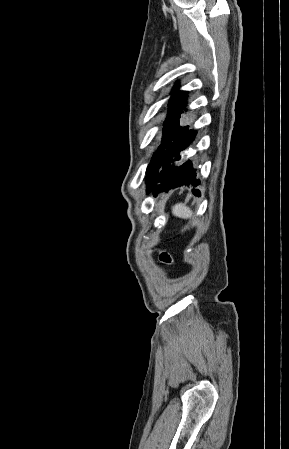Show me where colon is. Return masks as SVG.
<instances>
[{"instance_id": "1", "label": "colon", "mask_w": 289, "mask_h": 449, "mask_svg": "<svg viewBox=\"0 0 289 449\" xmlns=\"http://www.w3.org/2000/svg\"><path fill=\"white\" fill-rule=\"evenodd\" d=\"M160 261L164 264H173V257L168 251H161L159 254Z\"/></svg>"}]
</instances>
